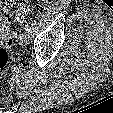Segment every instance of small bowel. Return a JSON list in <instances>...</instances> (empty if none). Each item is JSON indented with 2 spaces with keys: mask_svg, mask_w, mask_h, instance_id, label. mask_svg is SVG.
I'll use <instances>...</instances> for the list:
<instances>
[{
  "mask_svg": "<svg viewBox=\"0 0 113 113\" xmlns=\"http://www.w3.org/2000/svg\"><path fill=\"white\" fill-rule=\"evenodd\" d=\"M8 21L0 16V41L2 42L4 39L1 38V33L4 31L5 28H7Z\"/></svg>",
  "mask_w": 113,
  "mask_h": 113,
  "instance_id": "c3829d8e",
  "label": "small bowel"
}]
</instances>
